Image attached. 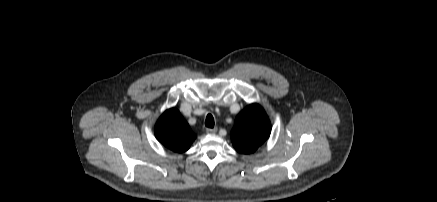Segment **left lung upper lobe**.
Returning <instances> with one entry per match:
<instances>
[{"mask_svg":"<svg viewBox=\"0 0 437 202\" xmlns=\"http://www.w3.org/2000/svg\"><path fill=\"white\" fill-rule=\"evenodd\" d=\"M270 121L259 104H251L236 117L231 131L234 148L243 154L255 152L270 136Z\"/></svg>","mask_w":437,"mask_h":202,"instance_id":"obj_1","label":"left lung upper lobe"}]
</instances>
